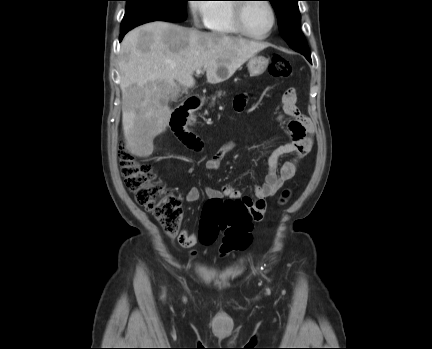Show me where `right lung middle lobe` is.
Segmentation results:
<instances>
[{
	"label": "right lung middle lobe",
	"mask_w": 432,
	"mask_h": 349,
	"mask_svg": "<svg viewBox=\"0 0 432 349\" xmlns=\"http://www.w3.org/2000/svg\"><path fill=\"white\" fill-rule=\"evenodd\" d=\"M121 31L151 21L182 22L186 19L188 0H126Z\"/></svg>",
	"instance_id": "1"
}]
</instances>
